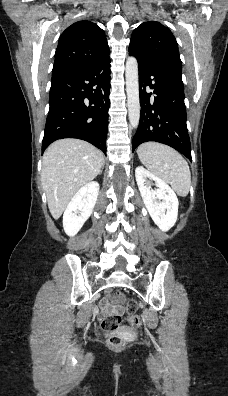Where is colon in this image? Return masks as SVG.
I'll return each instance as SVG.
<instances>
[{
	"label": "colon",
	"instance_id": "obj_1",
	"mask_svg": "<svg viewBox=\"0 0 228 396\" xmlns=\"http://www.w3.org/2000/svg\"><path fill=\"white\" fill-rule=\"evenodd\" d=\"M114 297L118 301H124V295L121 292H116ZM125 307L128 323L134 328H139L141 326V320L137 313L138 303L135 300H129ZM122 321V316L118 314L109 315L102 320L103 329L112 333L108 339V344L112 348H120L126 343L125 335L118 332Z\"/></svg>",
	"mask_w": 228,
	"mask_h": 396
}]
</instances>
